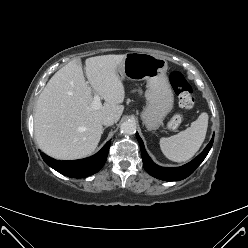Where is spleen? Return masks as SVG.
<instances>
[{"label": "spleen", "mask_w": 248, "mask_h": 248, "mask_svg": "<svg viewBox=\"0 0 248 248\" xmlns=\"http://www.w3.org/2000/svg\"><path fill=\"white\" fill-rule=\"evenodd\" d=\"M208 127V114L203 112L186 130L160 139L163 154L171 161L185 162L191 159L203 144Z\"/></svg>", "instance_id": "3e777b00"}]
</instances>
